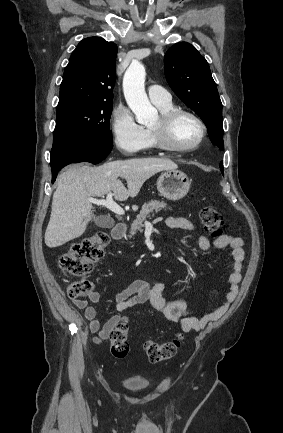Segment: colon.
Masks as SVG:
<instances>
[{"mask_svg": "<svg viewBox=\"0 0 283 433\" xmlns=\"http://www.w3.org/2000/svg\"><path fill=\"white\" fill-rule=\"evenodd\" d=\"M200 220L203 228L213 237H219L225 225L222 215L211 205L200 210ZM108 236L97 232L72 245L59 260L62 272L70 277H83L91 272L94 264L103 257ZM93 290V284L87 279H79L69 284L67 288L71 299H81ZM182 337L178 335L173 340L157 343L146 339L143 347L151 362H160L172 358L181 345ZM111 354L116 358H125L130 350L128 342V321L122 317L109 337Z\"/></svg>", "mask_w": 283, "mask_h": 433, "instance_id": "5ec220e1", "label": "colon"}]
</instances>
